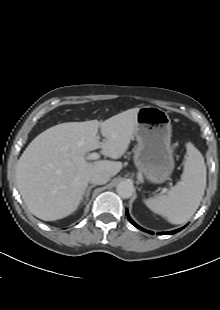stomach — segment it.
<instances>
[{
    "instance_id": "stomach-1",
    "label": "stomach",
    "mask_w": 220,
    "mask_h": 310,
    "mask_svg": "<svg viewBox=\"0 0 220 310\" xmlns=\"http://www.w3.org/2000/svg\"><path fill=\"white\" fill-rule=\"evenodd\" d=\"M136 123L134 135L138 144L134 150V163L149 182L162 183L174 169L171 120L164 110L143 106Z\"/></svg>"
}]
</instances>
